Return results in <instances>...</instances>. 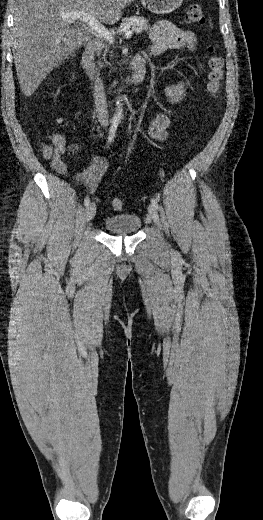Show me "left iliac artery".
<instances>
[{
  "label": "left iliac artery",
  "mask_w": 263,
  "mask_h": 520,
  "mask_svg": "<svg viewBox=\"0 0 263 520\" xmlns=\"http://www.w3.org/2000/svg\"><path fill=\"white\" fill-rule=\"evenodd\" d=\"M151 204H152L156 209H158V203H157V201H156L154 198L151 199Z\"/></svg>",
  "instance_id": "44dca946"
}]
</instances>
